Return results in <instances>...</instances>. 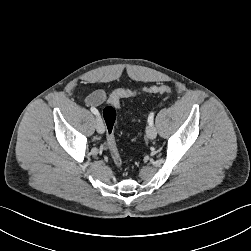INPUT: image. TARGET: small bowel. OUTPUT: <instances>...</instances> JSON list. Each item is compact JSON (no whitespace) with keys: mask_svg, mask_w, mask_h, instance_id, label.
I'll return each instance as SVG.
<instances>
[{"mask_svg":"<svg viewBox=\"0 0 251 251\" xmlns=\"http://www.w3.org/2000/svg\"><path fill=\"white\" fill-rule=\"evenodd\" d=\"M107 99V95L103 90L92 91L85 99L87 105L99 106Z\"/></svg>","mask_w":251,"mask_h":251,"instance_id":"1","label":"small bowel"}]
</instances>
